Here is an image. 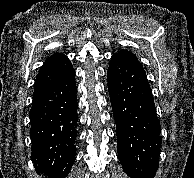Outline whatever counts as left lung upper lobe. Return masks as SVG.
<instances>
[{
	"label": "left lung upper lobe",
	"instance_id": "obj_1",
	"mask_svg": "<svg viewBox=\"0 0 194 178\" xmlns=\"http://www.w3.org/2000/svg\"><path fill=\"white\" fill-rule=\"evenodd\" d=\"M114 56L123 58V59H125L129 62H132V63L140 66L141 68H143L142 64L138 61V58L136 57V55L128 50H124V49L120 50L117 53H115Z\"/></svg>",
	"mask_w": 194,
	"mask_h": 178
}]
</instances>
